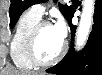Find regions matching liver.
<instances>
[{"mask_svg": "<svg viewBox=\"0 0 102 75\" xmlns=\"http://www.w3.org/2000/svg\"><path fill=\"white\" fill-rule=\"evenodd\" d=\"M5 75H32V74H27L26 72L12 69V70L6 71Z\"/></svg>", "mask_w": 102, "mask_h": 75, "instance_id": "obj_1", "label": "liver"}]
</instances>
